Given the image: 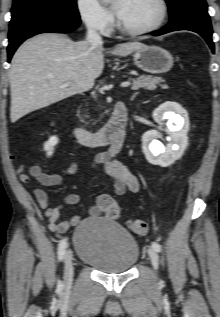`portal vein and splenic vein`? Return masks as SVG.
Instances as JSON below:
<instances>
[{
  "instance_id": "obj_1",
  "label": "portal vein and splenic vein",
  "mask_w": 220,
  "mask_h": 317,
  "mask_svg": "<svg viewBox=\"0 0 220 317\" xmlns=\"http://www.w3.org/2000/svg\"><path fill=\"white\" fill-rule=\"evenodd\" d=\"M67 86H69V83H68V82H66V83H64V84L62 85V87H67ZM128 86H130V82H123V83H121V87H128Z\"/></svg>"
}]
</instances>
